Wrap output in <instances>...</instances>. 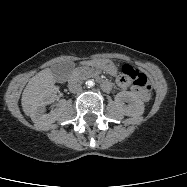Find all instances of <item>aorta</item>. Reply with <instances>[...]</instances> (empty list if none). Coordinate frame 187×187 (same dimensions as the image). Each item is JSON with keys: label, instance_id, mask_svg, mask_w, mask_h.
<instances>
[{"label": "aorta", "instance_id": "aorta-1", "mask_svg": "<svg viewBox=\"0 0 187 187\" xmlns=\"http://www.w3.org/2000/svg\"><path fill=\"white\" fill-rule=\"evenodd\" d=\"M86 85H87L88 88H91V87L94 86V82H93V81H88V82L86 83Z\"/></svg>", "mask_w": 187, "mask_h": 187}]
</instances>
